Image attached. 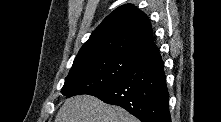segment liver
<instances>
[{"instance_id":"6515ba94","label":"liver","mask_w":221,"mask_h":122,"mask_svg":"<svg viewBox=\"0 0 221 122\" xmlns=\"http://www.w3.org/2000/svg\"><path fill=\"white\" fill-rule=\"evenodd\" d=\"M55 122H138L137 118L119 106L109 105L90 95L65 100Z\"/></svg>"}]
</instances>
